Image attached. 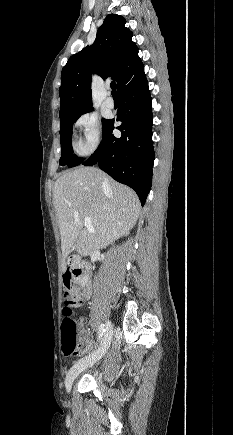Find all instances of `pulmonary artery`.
Listing matches in <instances>:
<instances>
[{"instance_id": "e3ab8cb5", "label": "pulmonary artery", "mask_w": 233, "mask_h": 435, "mask_svg": "<svg viewBox=\"0 0 233 435\" xmlns=\"http://www.w3.org/2000/svg\"><path fill=\"white\" fill-rule=\"evenodd\" d=\"M105 105H106L108 108H113V107L115 106V101H114V99H113L110 95H108V96L106 97Z\"/></svg>"}]
</instances>
